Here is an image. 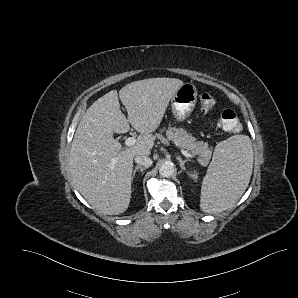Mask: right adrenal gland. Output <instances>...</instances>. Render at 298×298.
<instances>
[{
  "label": "right adrenal gland",
  "mask_w": 298,
  "mask_h": 298,
  "mask_svg": "<svg viewBox=\"0 0 298 298\" xmlns=\"http://www.w3.org/2000/svg\"><path fill=\"white\" fill-rule=\"evenodd\" d=\"M146 169H147V167H142L141 165H137V166L135 167V169L133 170L131 179L133 180V178H134V176H135L137 170H140L141 172H143V171L146 170Z\"/></svg>",
  "instance_id": "2a0ac1e0"
}]
</instances>
